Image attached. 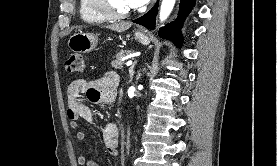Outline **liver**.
Segmentation results:
<instances>
[{"label": "liver", "instance_id": "1", "mask_svg": "<svg viewBox=\"0 0 277 166\" xmlns=\"http://www.w3.org/2000/svg\"><path fill=\"white\" fill-rule=\"evenodd\" d=\"M131 22L114 23L112 25L105 26L107 29L117 31L119 33L128 30L131 27Z\"/></svg>", "mask_w": 277, "mask_h": 166}]
</instances>
